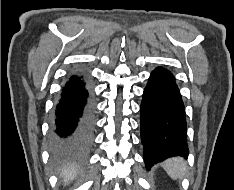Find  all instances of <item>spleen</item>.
Returning <instances> with one entry per match:
<instances>
[{
	"mask_svg": "<svg viewBox=\"0 0 234 190\" xmlns=\"http://www.w3.org/2000/svg\"><path fill=\"white\" fill-rule=\"evenodd\" d=\"M163 168L172 179L183 178L187 172V164L180 157L168 159L163 163Z\"/></svg>",
	"mask_w": 234,
	"mask_h": 190,
	"instance_id": "spleen-1",
	"label": "spleen"
}]
</instances>
